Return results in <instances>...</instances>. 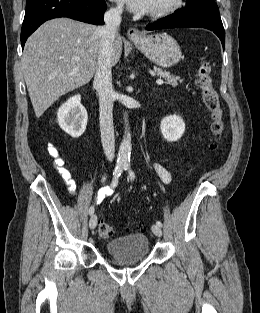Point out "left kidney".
Here are the masks:
<instances>
[{
    "label": "left kidney",
    "mask_w": 260,
    "mask_h": 313,
    "mask_svg": "<svg viewBox=\"0 0 260 313\" xmlns=\"http://www.w3.org/2000/svg\"><path fill=\"white\" fill-rule=\"evenodd\" d=\"M160 129L167 141L175 142L182 137L185 131V123L180 116L174 114L162 119Z\"/></svg>",
    "instance_id": "obj_1"
}]
</instances>
